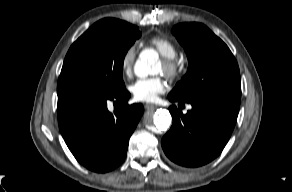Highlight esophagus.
I'll return each instance as SVG.
<instances>
[{"label":"esophagus","mask_w":292,"mask_h":192,"mask_svg":"<svg viewBox=\"0 0 292 192\" xmlns=\"http://www.w3.org/2000/svg\"><path fill=\"white\" fill-rule=\"evenodd\" d=\"M144 107L147 109V110H149V109H155L157 106L156 105H154V104H145L144 105Z\"/></svg>","instance_id":"1"}]
</instances>
